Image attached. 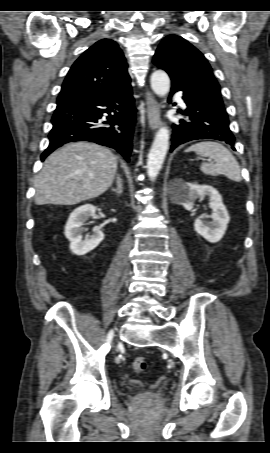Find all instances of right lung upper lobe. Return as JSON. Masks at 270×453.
<instances>
[{"label":"right lung upper lobe","instance_id":"1","mask_svg":"<svg viewBox=\"0 0 270 453\" xmlns=\"http://www.w3.org/2000/svg\"><path fill=\"white\" fill-rule=\"evenodd\" d=\"M126 59L118 44L102 39L88 48L72 65L57 104L97 98L130 82Z\"/></svg>","mask_w":270,"mask_h":453}]
</instances>
